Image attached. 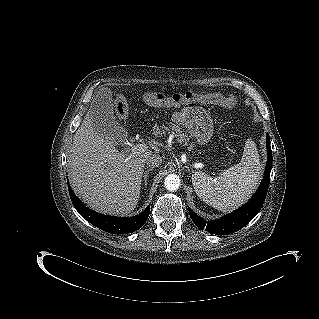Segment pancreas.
<instances>
[{"mask_svg": "<svg viewBox=\"0 0 319 319\" xmlns=\"http://www.w3.org/2000/svg\"><path fill=\"white\" fill-rule=\"evenodd\" d=\"M171 133H174V135L176 137H178V141L181 142V143H187L189 141V138L186 134H184L181 129L176 126L175 124H172V123H168V127L166 126H162V127H159V126H154L153 128V134L154 136L156 137H162L163 135H165L166 132H170Z\"/></svg>", "mask_w": 319, "mask_h": 319, "instance_id": "obj_1", "label": "pancreas"}]
</instances>
